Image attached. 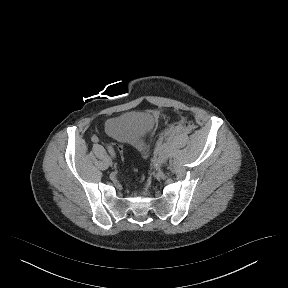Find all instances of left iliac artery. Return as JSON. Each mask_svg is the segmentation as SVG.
I'll return each instance as SVG.
<instances>
[{
	"mask_svg": "<svg viewBox=\"0 0 288 288\" xmlns=\"http://www.w3.org/2000/svg\"><path fill=\"white\" fill-rule=\"evenodd\" d=\"M166 151V147L165 146H162L161 148H160V153H164Z\"/></svg>",
	"mask_w": 288,
	"mask_h": 288,
	"instance_id": "1",
	"label": "left iliac artery"
}]
</instances>
